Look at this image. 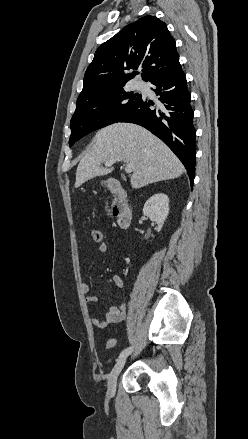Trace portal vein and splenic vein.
<instances>
[{
    "mask_svg": "<svg viewBox=\"0 0 248 439\" xmlns=\"http://www.w3.org/2000/svg\"><path fill=\"white\" fill-rule=\"evenodd\" d=\"M116 161H121V159L107 161V162H105V166L106 167L112 166L113 163H115ZM133 169H134V166L132 164L127 163L125 165V172L126 173H131L133 171Z\"/></svg>",
    "mask_w": 248,
    "mask_h": 439,
    "instance_id": "obj_1",
    "label": "portal vein and splenic vein"
}]
</instances>
